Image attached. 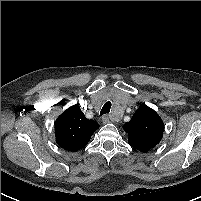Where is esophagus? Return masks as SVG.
Segmentation results:
<instances>
[{"instance_id":"1","label":"esophagus","mask_w":201,"mask_h":201,"mask_svg":"<svg viewBox=\"0 0 201 201\" xmlns=\"http://www.w3.org/2000/svg\"><path fill=\"white\" fill-rule=\"evenodd\" d=\"M111 121H113V120H111V118H110L109 116H104V117L102 118L103 124H107V123H109V122H111Z\"/></svg>"}]
</instances>
